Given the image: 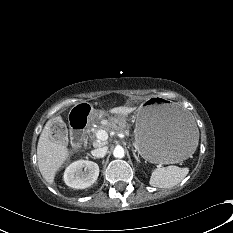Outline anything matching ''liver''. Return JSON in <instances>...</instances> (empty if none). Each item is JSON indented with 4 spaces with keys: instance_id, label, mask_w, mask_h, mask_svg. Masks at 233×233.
I'll list each match as a JSON object with an SVG mask.
<instances>
[{
    "instance_id": "liver-1",
    "label": "liver",
    "mask_w": 233,
    "mask_h": 233,
    "mask_svg": "<svg viewBox=\"0 0 233 233\" xmlns=\"http://www.w3.org/2000/svg\"><path fill=\"white\" fill-rule=\"evenodd\" d=\"M134 110L135 107L120 106L112 108L109 112L119 116H126ZM53 122V120H50L46 123L37 145L38 167L43 178L49 184L54 183L57 171L70 156L66 143L52 137L51 126Z\"/></svg>"
}]
</instances>
